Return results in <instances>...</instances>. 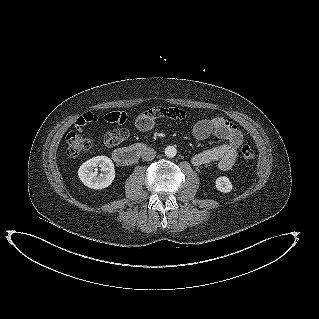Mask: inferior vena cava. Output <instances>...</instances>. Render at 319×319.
<instances>
[{
	"label": "inferior vena cava",
	"instance_id": "obj_1",
	"mask_svg": "<svg viewBox=\"0 0 319 319\" xmlns=\"http://www.w3.org/2000/svg\"><path fill=\"white\" fill-rule=\"evenodd\" d=\"M141 156L144 161H151L155 158L156 152L153 148L148 147L142 151Z\"/></svg>",
	"mask_w": 319,
	"mask_h": 319
}]
</instances>
